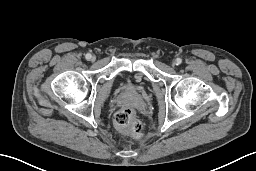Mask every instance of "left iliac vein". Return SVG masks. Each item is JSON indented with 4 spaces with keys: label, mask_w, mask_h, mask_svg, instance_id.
<instances>
[{
    "label": "left iliac vein",
    "mask_w": 256,
    "mask_h": 171,
    "mask_svg": "<svg viewBox=\"0 0 256 171\" xmlns=\"http://www.w3.org/2000/svg\"><path fill=\"white\" fill-rule=\"evenodd\" d=\"M172 64H173V66L177 65V62H176V60H175V61H173V63H172Z\"/></svg>",
    "instance_id": "4c4485c4"
}]
</instances>
